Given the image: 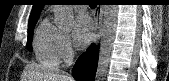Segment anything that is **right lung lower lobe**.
Returning a JSON list of instances; mask_svg holds the SVG:
<instances>
[{"mask_svg": "<svg viewBox=\"0 0 169 81\" xmlns=\"http://www.w3.org/2000/svg\"><path fill=\"white\" fill-rule=\"evenodd\" d=\"M98 61V48L90 46L83 53L72 70L73 77L77 81H94Z\"/></svg>", "mask_w": 169, "mask_h": 81, "instance_id": "obj_1", "label": "right lung lower lobe"}]
</instances>
